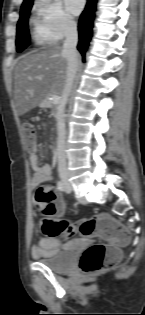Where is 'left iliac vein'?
Wrapping results in <instances>:
<instances>
[{
  "mask_svg": "<svg viewBox=\"0 0 145 315\" xmlns=\"http://www.w3.org/2000/svg\"><path fill=\"white\" fill-rule=\"evenodd\" d=\"M66 191L69 193L72 190L71 184L68 182L67 178L64 179Z\"/></svg>",
  "mask_w": 145,
  "mask_h": 315,
  "instance_id": "4c4485c4",
  "label": "left iliac vein"
}]
</instances>
